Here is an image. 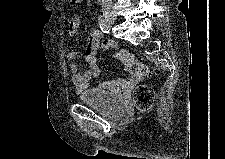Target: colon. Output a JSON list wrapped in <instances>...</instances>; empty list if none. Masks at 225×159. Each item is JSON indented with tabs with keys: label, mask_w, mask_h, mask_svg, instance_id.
Instances as JSON below:
<instances>
[{
	"label": "colon",
	"mask_w": 225,
	"mask_h": 159,
	"mask_svg": "<svg viewBox=\"0 0 225 159\" xmlns=\"http://www.w3.org/2000/svg\"><path fill=\"white\" fill-rule=\"evenodd\" d=\"M77 2L78 0H71ZM113 56L124 64L132 80H140L149 75V68L126 49H118ZM134 104L138 111L144 112L152 107L154 101V91L148 85H139L133 94Z\"/></svg>",
	"instance_id": "1"
}]
</instances>
